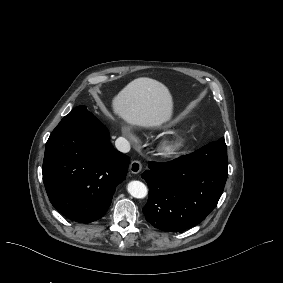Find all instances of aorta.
<instances>
[{"label":"aorta","mask_w":283,"mask_h":283,"mask_svg":"<svg viewBox=\"0 0 283 283\" xmlns=\"http://www.w3.org/2000/svg\"><path fill=\"white\" fill-rule=\"evenodd\" d=\"M127 189L131 196L138 199L144 198L148 194V189L146 185L140 181L129 182Z\"/></svg>","instance_id":"obj_1"}]
</instances>
